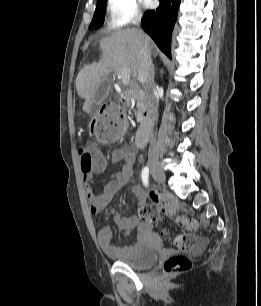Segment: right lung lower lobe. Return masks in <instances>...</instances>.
Returning <instances> with one entry per match:
<instances>
[{
	"instance_id": "right-lung-lower-lobe-1",
	"label": "right lung lower lobe",
	"mask_w": 261,
	"mask_h": 306,
	"mask_svg": "<svg viewBox=\"0 0 261 306\" xmlns=\"http://www.w3.org/2000/svg\"><path fill=\"white\" fill-rule=\"evenodd\" d=\"M156 10L147 11L142 18L143 29L157 46L171 58L170 37L177 17L181 0H159Z\"/></svg>"
}]
</instances>
